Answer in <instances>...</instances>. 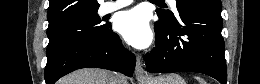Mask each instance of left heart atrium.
<instances>
[{"mask_svg":"<svg viewBox=\"0 0 260 84\" xmlns=\"http://www.w3.org/2000/svg\"><path fill=\"white\" fill-rule=\"evenodd\" d=\"M115 29L135 48H145L153 39L148 15L141 8L119 13L115 20Z\"/></svg>","mask_w":260,"mask_h":84,"instance_id":"obj_1","label":"left heart atrium"}]
</instances>
